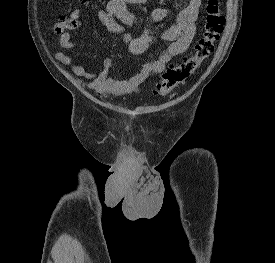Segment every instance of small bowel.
<instances>
[{
    "label": "small bowel",
    "mask_w": 275,
    "mask_h": 263,
    "mask_svg": "<svg viewBox=\"0 0 275 263\" xmlns=\"http://www.w3.org/2000/svg\"><path fill=\"white\" fill-rule=\"evenodd\" d=\"M148 0H110L98 13L101 26L108 32L119 36L134 55H140L147 51L154 41L153 25L163 21L168 16V10L164 6L156 7L150 16V24L145 27L138 36L125 29V25L134 26L136 18L130 10V5L142 4ZM202 0H188L185 2L174 24L164 29L159 39L167 43V47L158 58H149L130 77L115 79L109 76V70L113 65L110 57L103 61V69L98 72L88 71L83 66L75 64L72 58L65 52H57L55 60L61 66L69 67L71 72L85 80L84 85L92 89L98 96L113 98L126 93H136L141 90L142 84L161 74L168 64L177 56L185 53L189 48L195 32ZM81 10L79 8L64 14L53 26V34L58 37L60 46L65 50H73L78 44L72 40L71 32L81 27Z\"/></svg>",
    "instance_id": "c3829d8e"
}]
</instances>
